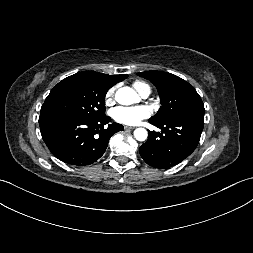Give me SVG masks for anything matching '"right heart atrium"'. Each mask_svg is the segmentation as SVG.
<instances>
[{
	"label": "right heart atrium",
	"instance_id": "1",
	"mask_svg": "<svg viewBox=\"0 0 253 253\" xmlns=\"http://www.w3.org/2000/svg\"><path fill=\"white\" fill-rule=\"evenodd\" d=\"M115 93H116V87L113 86L111 88H109L105 94V102L106 104H111L114 101V97H115Z\"/></svg>",
	"mask_w": 253,
	"mask_h": 253
}]
</instances>
